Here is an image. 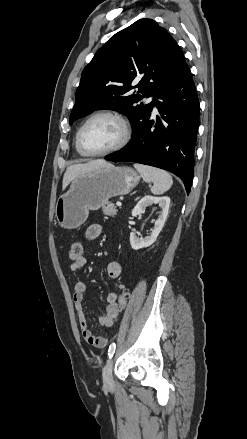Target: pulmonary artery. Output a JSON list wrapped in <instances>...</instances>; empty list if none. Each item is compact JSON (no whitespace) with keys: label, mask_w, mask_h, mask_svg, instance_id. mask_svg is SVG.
<instances>
[{"label":"pulmonary artery","mask_w":247,"mask_h":439,"mask_svg":"<svg viewBox=\"0 0 247 439\" xmlns=\"http://www.w3.org/2000/svg\"><path fill=\"white\" fill-rule=\"evenodd\" d=\"M148 101H149V102H152V101H153V98H152V97H149V98H148ZM153 112H154L155 114L158 113V109H157V107H156L155 105L153 106Z\"/></svg>","instance_id":"pulmonary-artery-1"}]
</instances>
